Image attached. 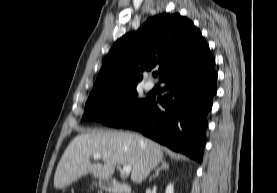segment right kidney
<instances>
[{
	"label": "right kidney",
	"instance_id": "ca27d5eb",
	"mask_svg": "<svg viewBox=\"0 0 277 193\" xmlns=\"http://www.w3.org/2000/svg\"><path fill=\"white\" fill-rule=\"evenodd\" d=\"M165 193H174L173 184L167 186Z\"/></svg>",
	"mask_w": 277,
	"mask_h": 193
}]
</instances>
